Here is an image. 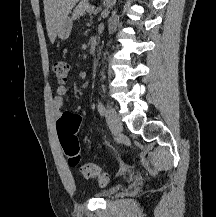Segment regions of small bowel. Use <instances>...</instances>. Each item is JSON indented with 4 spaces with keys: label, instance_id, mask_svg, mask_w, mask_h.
<instances>
[{
    "label": "small bowel",
    "instance_id": "small-bowel-1",
    "mask_svg": "<svg viewBox=\"0 0 216 217\" xmlns=\"http://www.w3.org/2000/svg\"><path fill=\"white\" fill-rule=\"evenodd\" d=\"M68 89L65 86H59L56 90V95L52 99L53 116L58 123L60 118L64 115L62 112L64 96L67 94Z\"/></svg>",
    "mask_w": 216,
    "mask_h": 217
}]
</instances>
